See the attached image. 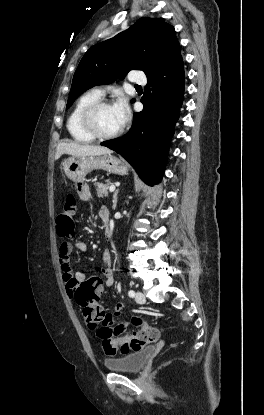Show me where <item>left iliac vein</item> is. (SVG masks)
Instances as JSON below:
<instances>
[{"mask_svg":"<svg viewBox=\"0 0 264 415\" xmlns=\"http://www.w3.org/2000/svg\"><path fill=\"white\" fill-rule=\"evenodd\" d=\"M135 300L137 303L143 304L146 301V298L142 292L137 291L135 295Z\"/></svg>","mask_w":264,"mask_h":415,"instance_id":"1","label":"left iliac vein"}]
</instances>
